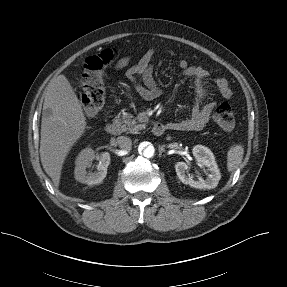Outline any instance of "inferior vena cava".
Here are the masks:
<instances>
[{
    "label": "inferior vena cava",
    "instance_id": "1",
    "mask_svg": "<svg viewBox=\"0 0 287 287\" xmlns=\"http://www.w3.org/2000/svg\"><path fill=\"white\" fill-rule=\"evenodd\" d=\"M117 143L119 147L123 150H130L132 147V141L130 138L125 137V136H119L117 138Z\"/></svg>",
    "mask_w": 287,
    "mask_h": 287
}]
</instances>
